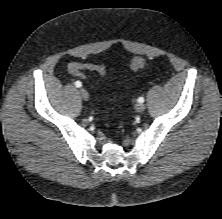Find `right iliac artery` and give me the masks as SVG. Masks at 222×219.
<instances>
[{"label":"right iliac artery","instance_id":"82829eb1","mask_svg":"<svg viewBox=\"0 0 222 219\" xmlns=\"http://www.w3.org/2000/svg\"><path fill=\"white\" fill-rule=\"evenodd\" d=\"M75 86H76L77 88H80V87L82 86V83H81L80 81H76V82H75Z\"/></svg>","mask_w":222,"mask_h":219}]
</instances>
